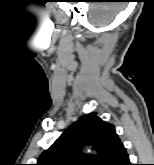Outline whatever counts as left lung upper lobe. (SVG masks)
<instances>
[{
    "label": "left lung upper lobe",
    "mask_w": 154,
    "mask_h": 165,
    "mask_svg": "<svg viewBox=\"0 0 154 165\" xmlns=\"http://www.w3.org/2000/svg\"><path fill=\"white\" fill-rule=\"evenodd\" d=\"M85 145H92L100 153L96 160L94 155L79 151ZM122 147L115 127L96 113H90L76 121L45 150L36 165H113Z\"/></svg>",
    "instance_id": "left-lung-upper-lobe-1"
}]
</instances>
